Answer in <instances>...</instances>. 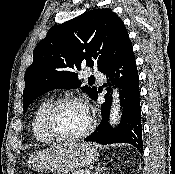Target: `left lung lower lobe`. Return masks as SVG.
Here are the masks:
<instances>
[{
	"label": "left lung lower lobe",
	"instance_id": "1",
	"mask_svg": "<svg viewBox=\"0 0 175 174\" xmlns=\"http://www.w3.org/2000/svg\"><path fill=\"white\" fill-rule=\"evenodd\" d=\"M104 75L120 89V104L123 109L122 119L118 128L112 131L108 123L112 102L110 91L108 90L105 95V103L101 105V124L85 140L95 141L100 144L129 143L142 153L139 77L131 43L127 45L116 62L104 72ZM97 97L98 92L93 100H96Z\"/></svg>",
	"mask_w": 175,
	"mask_h": 174
}]
</instances>
